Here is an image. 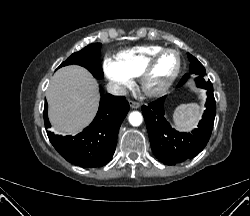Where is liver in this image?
Returning a JSON list of instances; mask_svg holds the SVG:
<instances>
[{
	"label": "liver",
	"instance_id": "6515ba94",
	"mask_svg": "<svg viewBox=\"0 0 250 216\" xmlns=\"http://www.w3.org/2000/svg\"><path fill=\"white\" fill-rule=\"evenodd\" d=\"M53 129L73 134L86 126L98 107L96 80L85 68L71 65L59 69L46 92Z\"/></svg>",
	"mask_w": 250,
	"mask_h": 216
}]
</instances>
